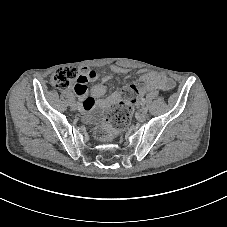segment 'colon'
<instances>
[{"label":"colon","instance_id":"colon-1","mask_svg":"<svg viewBox=\"0 0 227 227\" xmlns=\"http://www.w3.org/2000/svg\"><path fill=\"white\" fill-rule=\"evenodd\" d=\"M79 80L80 73L72 66L59 68L52 77L53 85L61 90L75 85ZM144 86L145 82L140 80L124 89L118 107L106 121L95 129V136L99 141L110 142L118 130L128 125L132 113V104L136 101Z\"/></svg>","mask_w":227,"mask_h":227}]
</instances>
